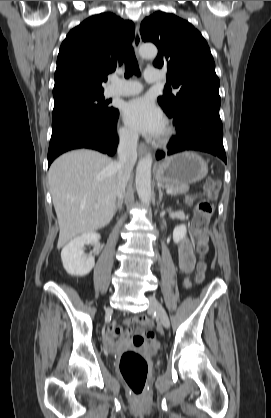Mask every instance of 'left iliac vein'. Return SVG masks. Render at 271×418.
I'll return each instance as SVG.
<instances>
[{"mask_svg":"<svg viewBox=\"0 0 271 418\" xmlns=\"http://www.w3.org/2000/svg\"><path fill=\"white\" fill-rule=\"evenodd\" d=\"M149 309L157 315L160 323L165 328L170 327L169 317H168L165 309L163 308L161 303L154 296H149Z\"/></svg>","mask_w":271,"mask_h":418,"instance_id":"obj_1","label":"left iliac vein"}]
</instances>
